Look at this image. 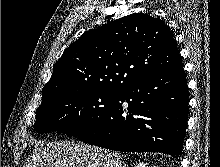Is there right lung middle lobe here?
Here are the masks:
<instances>
[{
  "mask_svg": "<svg viewBox=\"0 0 220 167\" xmlns=\"http://www.w3.org/2000/svg\"><path fill=\"white\" fill-rule=\"evenodd\" d=\"M119 91L79 88L45 100L36 110L37 133L53 130L78 136L95 126L112 107Z\"/></svg>",
  "mask_w": 220,
  "mask_h": 167,
  "instance_id": "right-lung-middle-lobe-1",
  "label": "right lung middle lobe"
}]
</instances>
